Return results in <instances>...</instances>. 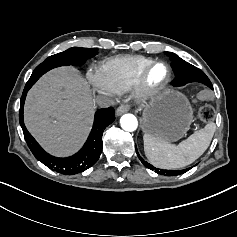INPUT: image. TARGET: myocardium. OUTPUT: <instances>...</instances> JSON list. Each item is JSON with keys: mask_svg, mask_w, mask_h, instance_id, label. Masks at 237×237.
Returning a JSON list of instances; mask_svg holds the SVG:
<instances>
[{"mask_svg": "<svg viewBox=\"0 0 237 237\" xmlns=\"http://www.w3.org/2000/svg\"><path fill=\"white\" fill-rule=\"evenodd\" d=\"M162 65L166 69L165 78L158 83H152L149 80L151 70L157 66ZM171 78V68L165 61H151L142 71L137 83L134 86L135 97L140 102H147L158 95L169 83Z\"/></svg>", "mask_w": 237, "mask_h": 237, "instance_id": "1", "label": "myocardium"}]
</instances>
